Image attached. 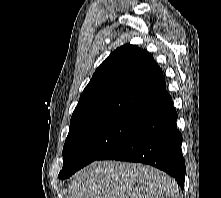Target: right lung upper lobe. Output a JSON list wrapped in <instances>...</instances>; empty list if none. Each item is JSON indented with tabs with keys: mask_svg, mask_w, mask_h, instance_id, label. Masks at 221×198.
<instances>
[{
	"mask_svg": "<svg viewBox=\"0 0 221 198\" xmlns=\"http://www.w3.org/2000/svg\"><path fill=\"white\" fill-rule=\"evenodd\" d=\"M169 99L162 70L153 57L135 45H124L93 74L72 114L69 131L106 117L143 120Z\"/></svg>",
	"mask_w": 221,
	"mask_h": 198,
	"instance_id": "1",
	"label": "right lung upper lobe"
}]
</instances>
